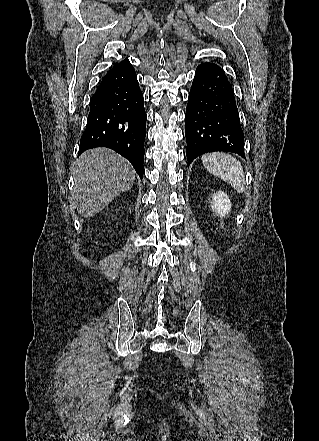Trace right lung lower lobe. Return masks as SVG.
<instances>
[{
	"mask_svg": "<svg viewBox=\"0 0 319 441\" xmlns=\"http://www.w3.org/2000/svg\"><path fill=\"white\" fill-rule=\"evenodd\" d=\"M145 136L143 94L126 59L107 72L91 98L78 156L90 148L108 147L128 159L142 179Z\"/></svg>",
	"mask_w": 319,
	"mask_h": 441,
	"instance_id": "obj_1",
	"label": "right lung lower lobe"
}]
</instances>
